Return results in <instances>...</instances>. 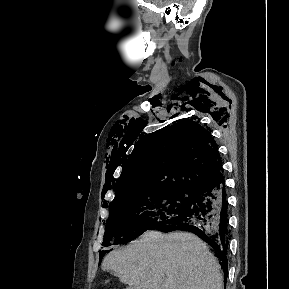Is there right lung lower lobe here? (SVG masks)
I'll use <instances>...</instances> for the list:
<instances>
[{
  "mask_svg": "<svg viewBox=\"0 0 289 289\" xmlns=\"http://www.w3.org/2000/svg\"><path fill=\"white\" fill-rule=\"evenodd\" d=\"M156 230L162 232L185 230L196 234L215 251L227 278V249L231 235L223 173L192 190V199L186 210L167 220Z\"/></svg>",
  "mask_w": 289,
  "mask_h": 289,
  "instance_id": "98d812e1",
  "label": "right lung lower lobe"
}]
</instances>
